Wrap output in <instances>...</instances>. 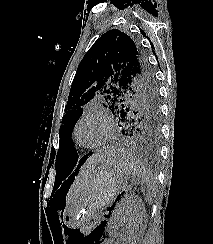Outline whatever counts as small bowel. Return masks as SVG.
<instances>
[{"label": "small bowel", "mask_w": 213, "mask_h": 244, "mask_svg": "<svg viewBox=\"0 0 213 244\" xmlns=\"http://www.w3.org/2000/svg\"><path fill=\"white\" fill-rule=\"evenodd\" d=\"M99 243H100V244H104L102 240H100V242H99Z\"/></svg>", "instance_id": "1"}]
</instances>
